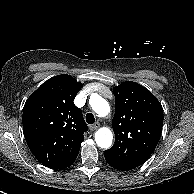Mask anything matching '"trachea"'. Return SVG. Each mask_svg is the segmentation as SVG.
Segmentation results:
<instances>
[{
  "label": "trachea",
  "instance_id": "obj_1",
  "mask_svg": "<svg viewBox=\"0 0 194 194\" xmlns=\"http://www.w3.org/2000/svg\"><path fill=\"white\" fill-rule=\"evenodd\" d=\"M86 122L88 124H93L95 122V118H94V115L92 113L86 114Z\"/></svg>",
  "mask_w": 194,
  "mask_h": 194
}]
</instances>
